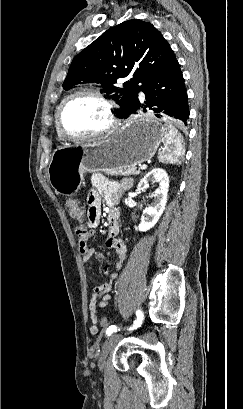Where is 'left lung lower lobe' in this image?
<instances>
[{
    "instance_id": "0a47b994",
    "label": "left lung lower lobe",
    "mask_w": 243,
    "mask_h": 409,
    "mask_svg": "<svg viewBox=\"0 0 243 409\" xmlns=\"http://www.w3.org/2000/svg\"><path fill=\"white\" fill-rule=\"evenodd\" d=\"M146 101L139 99L133 104L126 117L140 110L148 111L161 118L168 115L179 119L187 125L189 106L184 79L178 61L151 78L142 88ZM124 117V118H126Z\"/></svg>"
}]
</instances>
